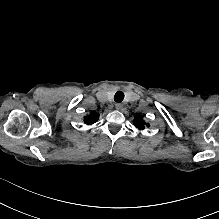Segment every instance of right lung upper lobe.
I'll list each match as a JSON object with an SVG mask.
<instances>
[{"label": "right lung upper lobe", "mask_w": 219, "mask_h": 219, "mask_svg": "<svg viewBox=\"0 0 219 219\" xmlns=\"http://www.w3.org/2000/svg\"><path fill=\"white\" fill-rule=\"evenodd\" d=\"M99 118V114L95 111H92L87 117H85L84 122L86 124H93L95 123Z\"/></svg>", "instance_id": "1"}]
</instances>
